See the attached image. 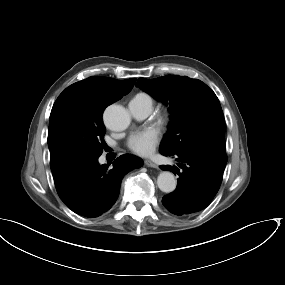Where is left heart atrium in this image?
Segmentation results:
<instances>
[{
  "label": "left heart atrium",
  "instance_id": "39dd6f15",
  "mask_svg": "<svg viewBox=\"0 0 285 285\" xmlns=\"http://www.w3.org/2000/svg\"><path fill=\"white\" fill-rule=\"evenodd\" d=\"M160 131L155 127H148L133 131L127 140L128 148L135 154L147 156L151 154L160 140Z\"/></svg>",
  "mask_w": 285,
  "mask_h": 285
}]
</instances>
